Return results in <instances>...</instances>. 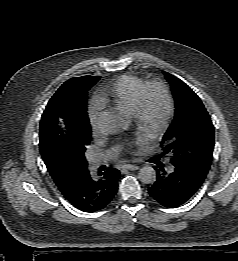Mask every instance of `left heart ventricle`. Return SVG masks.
Segmentation results:
<instances>
[{
	"instance_id": "b2bd125f",
	"label": "left heart ventricle",
	"mask_w": 238,
	"mask_h": 261,
	"mask_svg": "<svg viewBox=\"0 0 238 261\" xmlns=\"http://www.w3.org/2000/svg\"><path fill=\"white\" fill-rule=\"evenodd\" d=\"M165 110V99L160 89H153L148 97L146 127L143 132L148 133L160 121Z\"/></svg>"
}]
</instances>
